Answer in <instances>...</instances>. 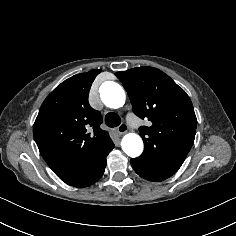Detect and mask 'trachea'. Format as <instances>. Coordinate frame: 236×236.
<instances>
[{
  "label": "trachea",
  "instance_id": "trachea-1",
  "mask_svg": "<svg viewBox=\"0 0 236 236\" xmlns=\"http://www.w3.org/2000/svg\"><path fill=\"white\" fill-rule=\"evenodd\" d=\"M105 123L108 127H117L121 123V118L114 112H108L105 115Z\"/></svg>",
  "mask_w": 236,
  "mask_h": 236
}]
</instances>
